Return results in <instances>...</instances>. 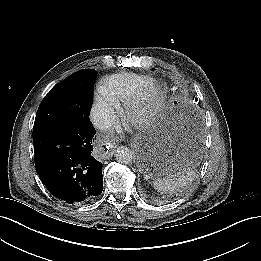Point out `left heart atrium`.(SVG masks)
Segmentation results:
<instances>
[{
  "label": "left heart atrium",
  "mask_w": 261,
  "mask_h": 261,
  "mask_svg": "<svg viewBox=\"0 0 261 261\" xmlns=\"http://www.w3.org/2000/svg\"><path fill=\"white\" fill-rule=\"evenodd\" d=\"M104 141H108V138H105Z\"/></svg>",
  "instance_id": "left-heart-atrium-1"
}]
</instances>
